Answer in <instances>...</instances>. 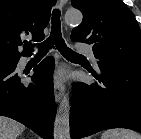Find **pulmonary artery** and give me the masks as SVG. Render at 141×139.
Returning <instances> with one entry per match:
<instances>
[{"mask_svg": "<svg viewBox=\"0 0 141 139\" xmlns=\"http://www.w3.org/2000/svg\"><path fill=\"white\" fill-rule=\"evenodd\" d=\"M77 50L79 52H81V53H84V54L88 55L92 59L94 64L97 63V59L94 56V53H93L92 49L89 46L83 45V44H79V45H77Z\"/></svg>", "mask_w": 141, "mask_h": 139, "instance_id": "1", "label": "pulmonary artery"}]
</instances>
